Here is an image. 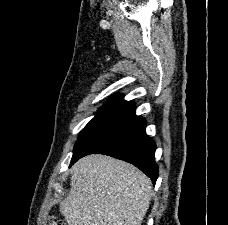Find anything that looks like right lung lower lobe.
I'll list each match as a JSON object with an SVG mask.
<instances>
[{
  "instance_id": "obj_1",
  "label": "right lung lower lobe",
  "mask_w": 228,
  "mask_h": 225,
  "mask_svg": "<svg viewBox=\"0 0 228 225\" xmlns=\"http://www.w3.org/2000/svg\"><path fill=\"white\" fill-rule=\"evenodd\" d=\"M146 121L135 115V104L129 103L94 129L74 150L70 166L89 154H105L129 162L155 184V142L145 134Z\"/></svg>"
}]
</instances>
